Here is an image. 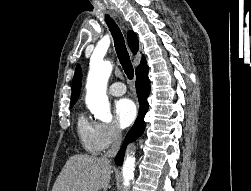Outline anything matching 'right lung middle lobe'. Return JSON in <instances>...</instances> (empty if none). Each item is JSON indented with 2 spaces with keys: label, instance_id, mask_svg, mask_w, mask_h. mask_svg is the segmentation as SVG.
<instances>
[{
  "label": "right lung middle lobe",
  "instance_id": "obj_1",
  "mask_svg": "<svg viewBox=\"0 0 251 191\" xmlns=\"http://www.w3.org/2000/svg\"><path fill=\"white\" fill-rule=\"evenodd\" d=\"M74 104H70V107H72Z\"/></svg>",
  "mask_w": 251,
  "mask_h": 191
}]
</instances>
